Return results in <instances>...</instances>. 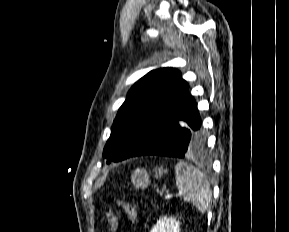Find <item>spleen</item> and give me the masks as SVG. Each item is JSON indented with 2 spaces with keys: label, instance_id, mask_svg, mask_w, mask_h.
I'll return each mask as SVG.
<instances>
[{
  "label": "spleen",
  "instance_id": "obj_1",
  "mask_svg": "<svg viewBox=\"0 0 289 232\" xmlns=\"http://www.w3.org/2000/svg\"><path fill=\"white\" fill-rule=\"evenodd\" d=\"M175 173L180 196L204 213L209 208L212 197L210 184L204 174L184 161L177 163Z\"/></svg>",
  "mask_w": 289,
  "mask_h": 232
}]
</instances>
